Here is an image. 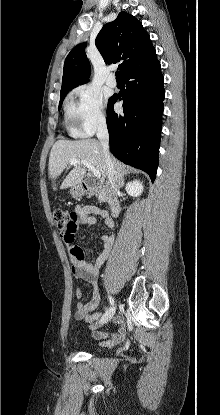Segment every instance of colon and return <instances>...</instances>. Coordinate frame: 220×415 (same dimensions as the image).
I'll return each mask as SVG.
<instances>
[{"label": "colon", "mask_w": 220, "mask_h": 415, "mask_svg": "<svg viewBox=\"0 0 220 415\" xmlns=\"http://www.w3.org/2000/svg\"><path fill=\"white\" fill-rule=\"evenodd\" d=\"M54 222L59 228V230L62 232L66 231L68 232V237L71 239L72 236V230L69 229L70 224H72L75 220V216L73 213H70L66 210H56L53 214Z\"/></svg>", "instance_id": "obj_1"}]
</instances>
